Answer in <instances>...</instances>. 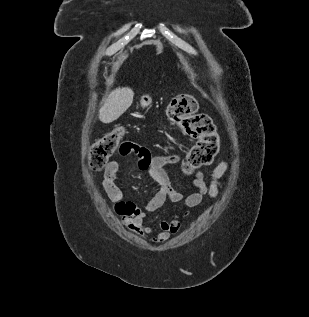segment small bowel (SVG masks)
I'll return each mask as SVG.
<instances>
[{"instance_id":"c3829d8e","label":"small bowel","mask_w":309,"mask_h":317,"mask_svg":"<svg viewBox=\"0 0 309 317\" xmlns=\"http://www.w3.org/2000/svg\"><path fill=\"white\" fill-rule=\"evenodd\" d=\"M131 152L136 153L137 168L146 172L159 187L158 191L148 202L147 211L159 209L167 200L173 203H182L187 208H194L202 202L205 196L216 198L219 195V190L223 187L221 179L229 168L228 161L223 160L217 164L208 178L201 171L187 174L193 175V191L186 195L171 185L170 178L165 170L166 165L180 161L181 156L179 153L152 156L146 146L132 143L131 150L122 152V154L127 155ZM119 169V162L111 161L105 168L102 186L107 197L113 203V209L121 218L122 223L135 235L149 239L155 244L169 240L172 235L179 231L181 216L176 214L170 220L161 221L157 228L146 225V213L133 202L126 200L121 188L116 183ZM186 215L187 213H184L182 217Z\"/></svg>"}]
</instances>
